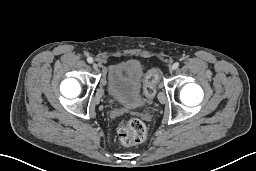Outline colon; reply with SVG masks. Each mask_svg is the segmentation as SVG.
Listing matches in <instances>:
<instances>
[{"mask_svg":"<svg viewBox=\"0 0 256 171\" xmlns=\"http://www.w3.org/2000/svg\"><path fill=\"white\" fill-rule=\"evenodd\" d=\"M157 80L158 74L155 70L147 72L144 80V94L148 99L155 95ZM147 134L148 130L145 123L136 118L124 121L117 131L118 140L124 146L142 143L147 138Z\"/></svg>","mask_w":256,"mask_h":171,"instance_id":"1","label":"colon"}]
</instances>
